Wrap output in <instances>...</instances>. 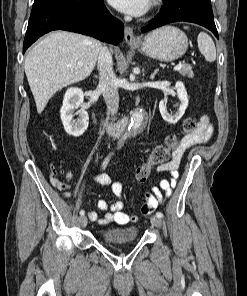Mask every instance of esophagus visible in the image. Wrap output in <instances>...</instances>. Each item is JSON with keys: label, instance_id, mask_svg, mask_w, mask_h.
Segmentation results:
<instances>
[{"label": "esophagus", "instance_id": "34e87169", "mask_svg": "<svg viewBox=\"0 0 247 296\" xmlns=\"http://www.w3.org/2000/svg\"><path fill=\"white\" fill-rule=\"evenodd\" d=\"M124 38H125V41L128 44H134V43H137L139 41L138 38L135 37V35L133 33V29L131 27H129V26H125Z\"/></svg>", "mask_w": 247, "mask_h": 296}]
</instances>
